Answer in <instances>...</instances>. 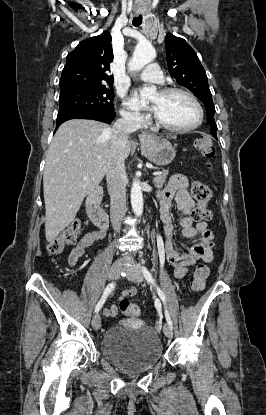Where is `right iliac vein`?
<instances>
[{"label": "right iliac vein", "instance_id": "right-iliac-vein-1", "mask_svg": "<svg viewBox=\"0 0 266 415\" xmlns=\"http://www.w3.org/2000/svg\"><path fill=\"white\" fill-rule=\"evenodd\" d=\"M122 270L121 261H116L110 268L109 280H116ZM92 326L95 330H98L101 326V317L99 313H96L92 319Z\"/></svg>", "mask_w": 266, "mask_h": 415}]
</instances>
